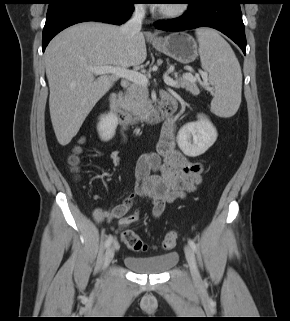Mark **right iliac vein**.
Returning <instances> with one entry per match:
<instances>
[{"instance_id": "1", "label": "right iliac vein", "mask_w": 290, "mask_h": 321, "mask_svg": "<svg viewBox=\"0 0 290 321\" xmlns=\"http://www.w3.org/2000/svg\"><path fill=\"white\" fill-rule=\"evenodd\" d=\"M114 252H115V248L113 246L107 248L104 255V260H103L104 268H106L110 264L111 260L114 257Z\"/></svg>"}]
</instances>
